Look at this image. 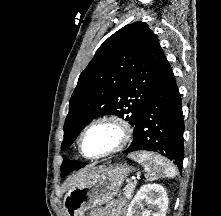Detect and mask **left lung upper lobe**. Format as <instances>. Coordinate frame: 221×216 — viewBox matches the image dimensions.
Listing matches in <instances>:
<instances>
[{
	"mask_svg": "<svg viewBox=\"0 0 221 216\" xmlns=\"http://www.w3.org/2000/svg\"><path fill=\"white\" fill-rule=\"evenodd\" d=\"M163 57L159 41L146 23L135 22L111 35L79 76L69 101L61 149L69 147L87 123L102 115L125 117L135 131ZM84 165L65 158L61 177Z\"/></svg>",
	"mask_w": 221,
	"mask_h": 216,
	"instance_id": "5c2ea615",
	"label": "left lung upper lobe"
}]
</instances>
